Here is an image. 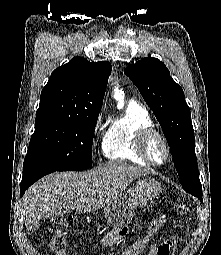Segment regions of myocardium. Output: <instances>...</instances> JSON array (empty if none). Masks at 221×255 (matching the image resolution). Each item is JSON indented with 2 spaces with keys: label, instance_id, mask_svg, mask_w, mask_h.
I'll return each instance as SVG.
<instances>
[{
  "label": "myocardium",
  "instance_id": "myocardium-1",
  "mask_svg": "<svg viewBox=\"0 0 221 255\" xmlns=\"http://www.w3.org/2000/svg\"><path fill=\"white\" fill-rule=\"evenodd\" d=\"M153 138L159 139L166 151V157L161 163L154 162L148 153V144ZM135 147L141 158L151 166H162L167 163L171 157L170 146L166 138L154 128H145L140 130L136 135Z\"/></svg>",
  "mask_w": 221,
  "mask_h": 255
}]
</instances>
